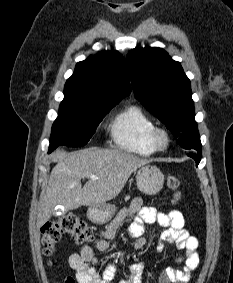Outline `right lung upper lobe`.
<instances>
[{
    "label": "right lung upper lobe",
    "mask_w": 233,
    "mask_h": 283,
    "mask_svg": "<svg viewBox=\"0 0 233 283\" xmlns=\"http://www.w3.org/2000/svg\"><path fill=\"white\" fill-rule=\"evenodd\" d=\"M130 91L124 58L117 51H103L76 65L64 94L89 104L116 105Z\"/></svg>",
    "instance_id": "1"
}]
</instances>
